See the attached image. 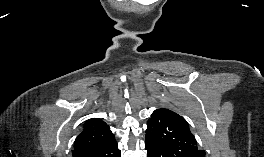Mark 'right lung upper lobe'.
Here are the masks:
<instances>
[{
  "instance_id": "1",
  "label": "right lung upper lobe",
  "mask_w": 264,
  "mask_h": 157,
  "mask_svg": "<svg viewBox=\"0 0 264 157\" xmlns=\"http://www.w3.org/2000/svg\"><path fill=\"white\" fill-rule=\"evenodd\" d=\"M114 135L109 126L99 118H92L85 122L82 132L74 142L72 157H80L84 153L103 146L112 141Z\"/></svg>"
}]
</instances>
